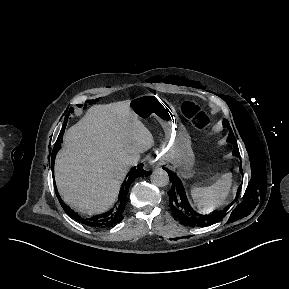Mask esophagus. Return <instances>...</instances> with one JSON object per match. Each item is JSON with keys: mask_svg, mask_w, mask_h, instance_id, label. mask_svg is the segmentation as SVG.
<instances>
[{"mask_svg": "<svg viewBox=\"0 0 289 289\" xmlns=\"http://www.w3.org/2000/svg\"><path fill=\"white\" fill-rule=\"evenodd\" d=\"M150 164L153 165V166H156V167L160 165L158 160L154 159V158L150 159Z\"/></svg>", "mask_w": 289, "mask_h": 289, "instance_id": "1", "label": "esophagus"}]
</instances>
